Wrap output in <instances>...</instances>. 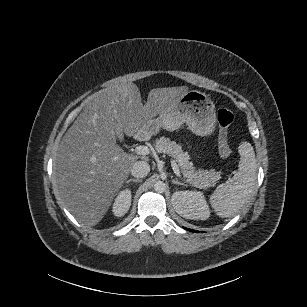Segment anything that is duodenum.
<instances>
[{"instance_id":"duodenum-1","label":"duodenum","mask_w":307,"mask_h":307,"mask_svg":"<svg viewBox=\"0 0 307 307\" xmlns=\"http://www.w3.org/2000/svg\"><path fill=\"white\" fill-rule=\"evenodd\" d=\"M136 139L138 141H145L147 139V134L144 132H140L136 135Z\"/></svg>"}]
</instances>
